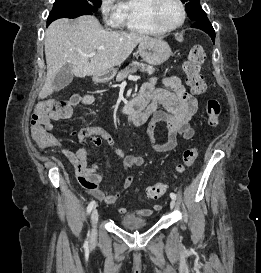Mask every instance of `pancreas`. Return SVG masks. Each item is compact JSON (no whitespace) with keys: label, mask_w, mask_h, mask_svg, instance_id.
I'll return each mask as SVG.
<instances>
[{"label":"pancreas","mask_w":261,"mask_h":273,"mask_svg":"<svg viewBox=\"0 0 261 273\" xmlns=\"http://www.w3.org/2000/svg\"><path fill=\"white\" fill-rule=\"evenodd\" d=\"M137 70H140L142 72H146L150 75H152L156 71V69L151 65H147L145 63H140L138 61H133L132 63L129 64V66L125 67L123 70H121L117 74L116 81L117 82L123 81L130 74L136 73Z\"/></svg>","instance_id":"1"}]
</instances>
